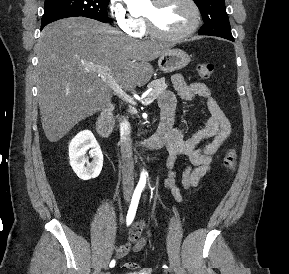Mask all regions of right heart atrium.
Returning <instances> with one entry per match:
<instances>
[{"label": "right heart atrium", "instance_id": "right-heart-atrium-1", "mask_svg": "<svg viewBox=\"0 0 289 274\" xmlns=\"http://www.w3.org/2000/svg\"><path fill=\"white\" fill-rule=\"evenodd\" d=\"M109 11L116 27L121 32L130 36H139L142 22L129 12L123 0H110Z\"/></svg>", "mask_w": 289, "mask_h": 274}]
</instances>
